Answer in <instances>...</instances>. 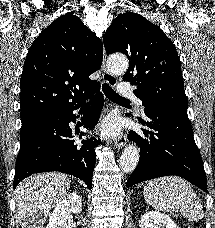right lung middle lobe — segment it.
I'll return each mask as SVG.
<instances>
[{
	"label": "right lung middle lobe",
	"instance_id": "right-lung-middle-lobe-1",
	"mask_svg": "<svg viewBox=\"0 0 215 228\" xmlns=\"http://www.w3.org/2000/svg\"><path fill=\"white\" fill-rule=\"evenodd\" d=\"M58 118H59V115H56V116H49V117L33 120L30 122L22 123L20 135L27 133L46 122H49Z\"/></svg>",
	"mask_w": 215,
	"mask_h": 228
}]
</instances>
